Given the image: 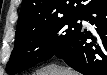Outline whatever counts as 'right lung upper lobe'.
<instances>
[{
  "label": "right lung upper lobe",
  "instance_id": "right-lung-upper-lobe-1",
  "mask_svg": "<svg viewBox=\"0 0 107 75\" xmlns=\"http://www.w3.org/2000/svg\"><path fill=\"white\" fill-rule=\"evenodd\" d=\"M84 6L81 0H24L17 27L32 30L69 15L81 14Z\"/></svg>",
  "mask_w": 107,
  "mask_h": 75
}]
</instances>
